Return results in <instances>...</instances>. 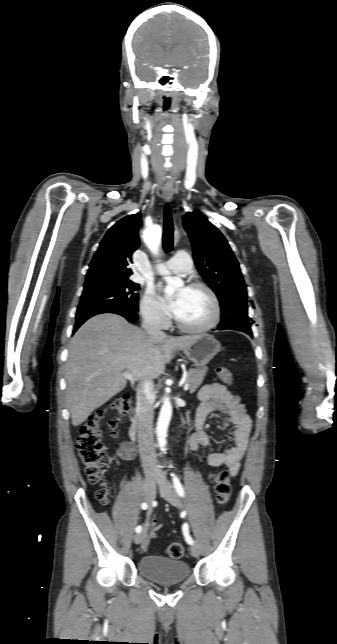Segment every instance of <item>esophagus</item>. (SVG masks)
I'll list each match as a JSON object with an SVG mask.
<instances>
[{
	"label": "esophagus",
	"mask_w": 337,
	"mask_h": 644,
	"mask_svg": "<svg viewBox=\"0 0 337 644\" xmlns=\"http://www.w3.org/2000/svg\"><path fill=\"white\" fill-rule=\"evenodd\" d=\"M173 193H174V189H173L172 183L170 182L166 183L165 189H164V199L166 202L169 203L172 200ZM174 238H175V242H177L179 239V231L177 229L175 230Z\"/></svg>",
	"instance_id": "34e87169"
}]
</instances>
